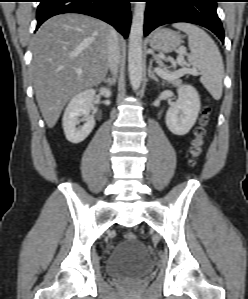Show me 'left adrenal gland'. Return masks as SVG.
Segmentation results:
<instances>
[{
  "label": "left adrenal gland",
  "mask_w": 248,
  "mask_h": 299,
  "mask_svg": "<svg viewBox=\"0 0 248 299\" xmlns=\"http://www.w3.org/2000/svg\"><path fill=\"white\" fill-rule=\"evenodd\" d=\"M148 76H149V78L154 79L155 81H158L157 76L155 75L154 71L152 70V60H150L149 66H148Z\"/></svg>",
  "instance_id": "left-adrenal-gland-1"
}]
</instances>
